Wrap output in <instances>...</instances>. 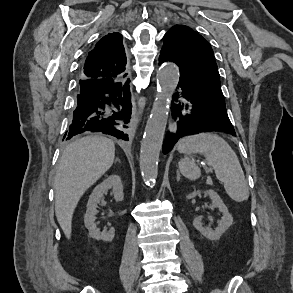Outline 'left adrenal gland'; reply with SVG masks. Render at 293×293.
<instances>
[{"label": "left adrenal gland", "mask_w": 293, "mask_h": 293, "mask_svg": "<svg viewBox=\"0 0 293 293\" xmlns=\"http://www.w3.org/2000/svg\"><path fill=\"white\" fill-rule=\"evenodd\" d=\"M179 180H180V172L179 170H177V181L179 182Z\"/></svg>", "instance_id": "1"}]
</instances>
